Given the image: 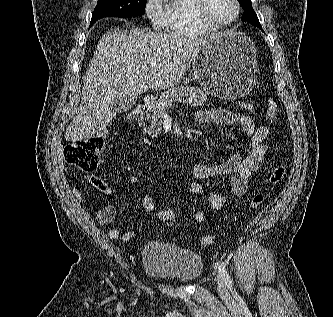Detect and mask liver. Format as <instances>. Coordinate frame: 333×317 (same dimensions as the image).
<instances>
[{
	"mask_svg": "<svg viewBox=\"0 0 333 317\" xmlns=\"http://www.w3.org/2000/svg\"><path fill=\"white\" fill-rule=\"evenodd\" d=\"M216 35L188 37L145 29L104 34L85 73L81 104L66 129V141L86 140L104 130L116 117L117 96L179 84L202 46Z\"/></svg>",
	"mask_w": 333,
	"mask_h": 317,
	"instance_id": "obj_1",
	"label": "liver"
}]
</instances>
